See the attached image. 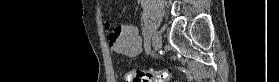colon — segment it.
Masks as SVG:
<instances>
[{
  "label": "colon",
  "instance_id": "colon-1",
  "mask_svg": "<svg viewBox=\"0 0 279 82\" xmlns=\"http://www.w3.org/2000/svg\"><path fill=\"white\" fill-rule=\"evenodd\" d=\"M169 69L130 70L125 75V82H167L170 79Z\"/></svg>",
  "mask_w": 279,
  "mask_h": 82
}]
</instances>
